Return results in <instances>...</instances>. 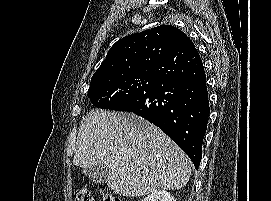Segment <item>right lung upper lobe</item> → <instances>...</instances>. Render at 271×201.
<instances>
[{
  "instance_id": "right-lung-upper-lobe-1",
  "label": "right lung upper lobe",
  "mask_w": 271,
  "mask_h": 201,
  "mask_svg": "<svg viewBox=\"0 0 271 201\" xmlns=\"http://www.w3.org/2000/svg\"><path fill=\"white\" fill-rule=\"evenodd\" d=\"M185 38V33L171 25L126 36L110 48L92 79L130 71L152 72L155 65Z\"/></svg>"
}]
</instances>
